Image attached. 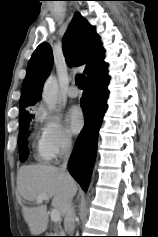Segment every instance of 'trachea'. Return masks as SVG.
Instances as JSON below:
<instances>
[{
    "label": "trachea",
    "mask_w": 158,
    "mask_h": 237,
    "mask_svg": "<svg viewBox=\"0 0 158 237\" xmlns=\"http://www.w3.org/2000/svg\"><path fill=\"white\" fill-rule=\"evenodd\" d=\"M75 83L79 88L83 89L85 85V75H77L75 78Z\"/></svg>",
    "instance_id": "1"
}]
</instances>
